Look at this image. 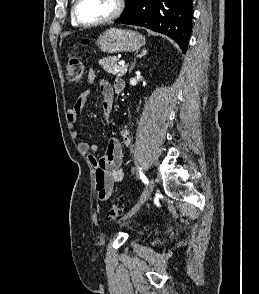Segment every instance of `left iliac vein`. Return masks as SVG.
Masks as SVG:
<instances>
[{"mask_svg":"<svg viewBox=\"0 0 259 294\" xmlns=\"http://www.w3.org/2000/svg\"><path fill=\"white\" fill-rule=\"evenodd\" d=\"M153 189H154V179L150 178L148 185L143 191L140 200L126 215H124L123 217L124 220L131 217L134 213H136L141 208V206L145 203V201L150 197Z\"/></svg>","mask_w":259,"mask_h":294,"instance_id":"1","label":"left iliac vein"}]
</instances>
